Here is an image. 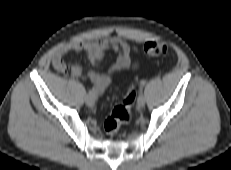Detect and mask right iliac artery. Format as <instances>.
Segmentation results:
<instances>
[{
    "instance_id": "right-iliac-artery-1",
    "label": "right iliac artery",
    "mask_w": 231,
    "mask_h": 170,
    "mask_svg": "<svg viewBox=\"0 0 231 170\" xmlns=\"http://www.w3.org/2000/svg\"><path fill=\"white\" fill-rule=\"evenodd\" d=\"M89 95L92 96L93 98H97L92 90H89Z\"/></svg>"
}]
</instances>
